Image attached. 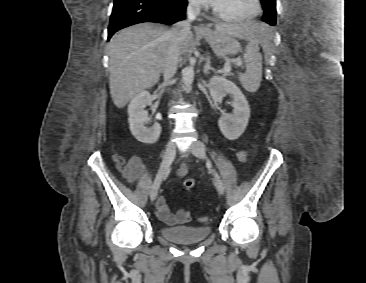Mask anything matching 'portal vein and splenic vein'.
Here are the masks:
<instances>
[{"label":"portal vein and splenic vein","instance_id":"18ae733b","mask_svg":"<svg viewBox=\"0 0 366 283\" xmlns=\"http://www.w3.org/2000/svg\"><path fill=\"white\" fill-rule=\"evenodd\" d=\"M234 63L237 67H242V61L240 59H236L234 60ZM231 71V67H230V64L229 63H226L225 64V67H224V73H229Z\"/></svg>","mask_w":366,"mask_h":283}]
</instances>
